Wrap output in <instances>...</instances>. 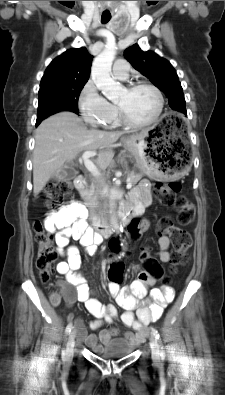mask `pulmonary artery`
<instances>
[{
	"mask_svg": "<svg viewBox=\"0 0 225 395\" xmlns=\"http://www.w3.org/2000/svg\"><path fill=\"white\" fill-rule=\"evenodd\" d=\"M129 64L125 60L115 62L112 74L116 79L125 80L128 77Z\"/></svg>",
	"mask_w": 225,
	"mask_h": 395,
	"instance_id": "e3ab8cb5",
	"label": "pulmonary artery"
}]
</instances>
